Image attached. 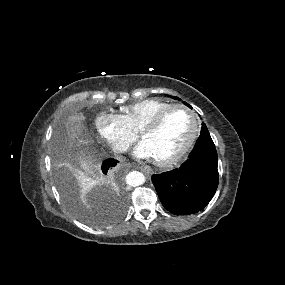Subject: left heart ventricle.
Listing matches in <instances>:
<instances>
[{"mask_svg": "<svg viewBox=\"0 0 285 285\" xmlns=\"http://www.w3.org/2000/svg\"><path fill=\"white\" fill-rule=\"evenodd\" d=\"M193 123L183 110H176L155 130L142 132V141L148 145L155 160L174 156L189 140Z\"/></svg>", "mask_w": 285, "mask_h": 285, "instance_id": "left-heart-ventricle-1", "label": "left heart ventricle"}]
</instances>
